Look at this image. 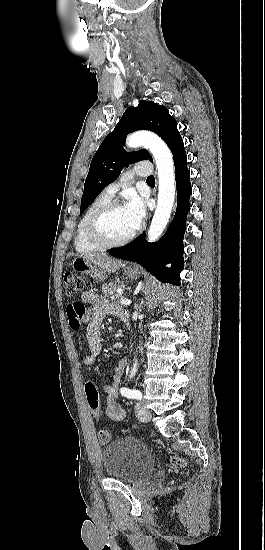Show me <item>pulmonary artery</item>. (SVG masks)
<instances>
[{"instance_id":"e3ab8cb5","label":"pulmonary artery","mask_w":265,"mask_h":550,"mask_svg":"<svg viewBox=\"0 0 265 550\" xmlns=\"http://www.w3.org/2000/svg\"><path fill=\"white\" fill-rule=\"evenodd\" d=\"M148 165L147 162H141L137 165H135L133 168L127 170L122 177L115 182L110 183L103 191L104 194H106L109 197H113L114 194L118 191V189L125 184L130 183L132 177L135 174H138L140 176H145L148 174V168L146 167Z\"/></svg>"}]
</instances>
